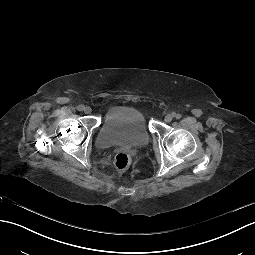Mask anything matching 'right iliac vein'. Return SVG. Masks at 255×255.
<instances>
[{"instance_id":"right-iliac-vein-1","label":"right iliac vein","mask_w":255,"mask_h":255,"mask_svg":"<svg viewBox=\"0 0 255 255\" xmlns=\"http://www.w3.org/2000/svg\"><path fill=\"white\" fill-rule=\"evenodd\" d=\"M84 112L85 114H90L92 112V109L89 106H87L84 108Z\"/></svg>"}]
</instances>
